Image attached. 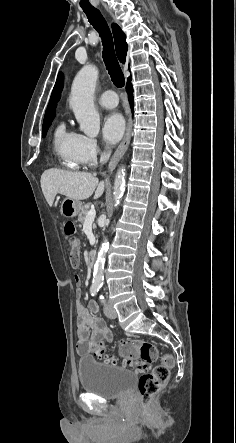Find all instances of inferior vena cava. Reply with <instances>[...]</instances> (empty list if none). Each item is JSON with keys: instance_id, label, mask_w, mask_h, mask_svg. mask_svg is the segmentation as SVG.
I'll return each instance as SVG.
<instances>
[{"instance_id": "inferior-vena-cava-1", "label": "inferior vena cava", "mask_w": 236, "mask_h": 443, "mask_svg": "<svg viewBox=\"0 0 236 443\" xmlns=\"http://www.w3.org/2000/svg\"><path fill=\"white\" fill-rule=\"evenodd\" d=\"M110 154H111L110 151L101 154V156H100V163L103 164V163L107 162L109 157H110Z\"/></svg>"}]
</instances>
